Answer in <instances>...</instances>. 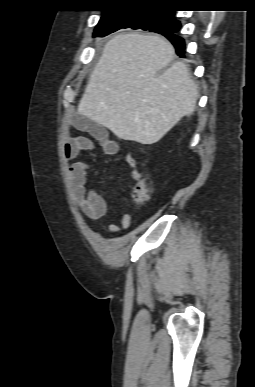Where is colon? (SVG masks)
I'll return each mask as SVG.
<instances>
[{
    "instance_id": "colon-1",
    "label": "colon",
    "mask_w": 255,
    "mask_h": 387,
    "mask_svg": "<svg viewBox=\"0 0 255 387\" xmlns=\"http://www.w3.org/2000/svg\"><path fill=\"white\" fill-rule=\"evenodd\" d=\"M151 192L150 181L148 179H142L135 185L132 191V201L136 205H143L150 199Z\"/></svg>"
}]
</instances>
